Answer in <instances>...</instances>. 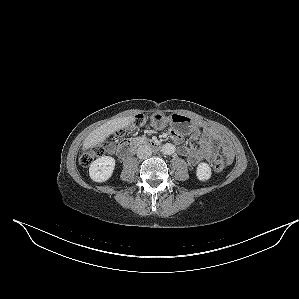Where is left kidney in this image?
Segmentation results:
<instances>
[{
  "label": "left kidney",
  "mask_w": 299,
  "mask_h": 299,
  "mask_svg": "<svg viewBox=\"0 0 299 299\" xmlns=\"http://www.w3.org/2000/svg\"><path fill=\"white\" fill-rule=\"evenodd\" d=\"M211 168L207 163H200L196 170V176L200 181H206L211 177Z\"/></svg>",
  "instance_id": "5707ae66"
}]
</instances>
